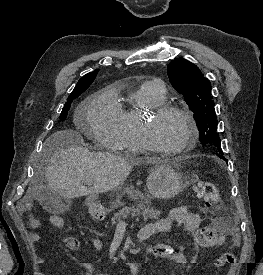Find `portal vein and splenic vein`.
Here are the masks:
<instances>
[{"instance_id":"1","label":"portal vein and splenic vein","mask_w":263,"mask_h":275,"mask_svg":"<svg viewBox=\"0 0 263 275\" xmlns=\"http://www.w3.org/2000/svg\"><path fill=\"white\" fill-rule=\"evenodd\" d=\"M87 185H88V186H90V185H91V183L89 182ZM119 223H120V224H124V222H123V221H121V220L119 221Z\"/></svg>"}]
</instances>
